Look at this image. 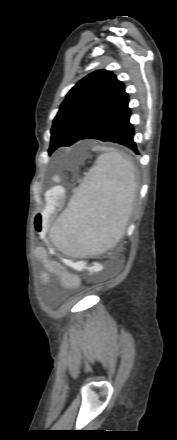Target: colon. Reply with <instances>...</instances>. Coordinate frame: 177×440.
<instances>
[{
  "instance_id": "5ec220e1",
  "label": "colon",
  "mask_w": 177,
  "mask_h": 440,
  "mask_svg": "<svg viewBox=\"0 0 177 440\" xmlns=\"http://www.w3.org/2000/svg\"><path fill=\"white\" fill-rule=\"evenodd\" d=\"M62 202L63 192L59 188H54L47 192L45 207L35 216V227L37 231L41 230L44 225L45 230L47 229L48 222L50 221L52 215L61 208ZM69 275L73 274L69 273Z\"/></svg>"
}]
</instances>
